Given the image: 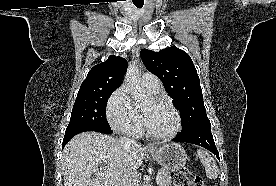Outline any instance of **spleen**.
I'll return each mask as SVG.
<instances>
[{"label": "spleen", "mask_w": 276, "mask_h": 186, "mask_svg": "<svg viewBox=\"0 0 276 186\" xmlns=\"http://www.w3.org/2000/svg\"><path fill=\"white\" fill-rule=\"evenodd\" d=\"M197 155L205 167L206 176L209 179H216L218 177L219 169L214 158L205 150L198 149Z\"/></svg>", "instance_id": "spleen-1"}]
</instances>
